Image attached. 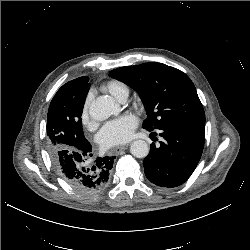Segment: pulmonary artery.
I'll return each instance as SVG.
<instances>
[{
  "instance_id": "1",
  "label": "pulmonary artery",
  "mask_w": 250,
  "mask_h": 250,
  "mask_svg": "<svg viewBox=\"0 0 250 250\" xmlns=\"http://www.w3.org/2000/svg\"><path fill=\"white\" fill-rule=\"evenodd\" d=\"M127 100V97L122 98L119 102L123 103Z\"/></svg>"
}]
</instances>
